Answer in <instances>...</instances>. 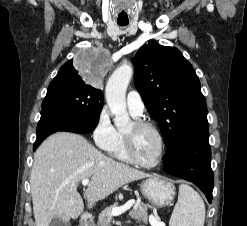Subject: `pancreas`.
<instances>
[{
  "mask_svg": "<svg viewBox=\"0 0 247 226\" xmlns=\"http://www.w3.org/2000/svg\"><path fill=\"white\" fill-rule=\"evenodd\" d=\"M117 207V203H114L110 207H107L102 211L98 216V225L97 226H110V213L113 208ZM130 217L137 220L147 223L148 213L147 205L143 203H136L135 208L129 213Z\"/></svg>",
  "mask_w": 247,
  "mask_h": 226,
  "instance_id": "cf45deb5",
  "label": "pancreas"
}]
</instances>
